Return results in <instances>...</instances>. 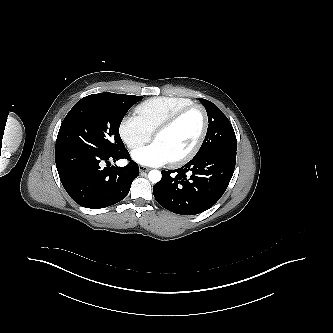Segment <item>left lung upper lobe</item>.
Here are the masks:
<instances>
[{"mask_svg": "<svg viewBox=\"0 0 333 333\" xmlns=\"http://www.w3.org/2000/svg\"><path fill=\"white\" fill-rule=\"evenodd\" d=\"M204 105L209 126L201 148L195 156H200L214 150H237V140L234 129L228 118L212 102L199 98Z\"/></svg>", "mask_w": 333, "mask_h": 333, "instance_id": "1", "label": "left lung upper lobe"}]
</instances>
